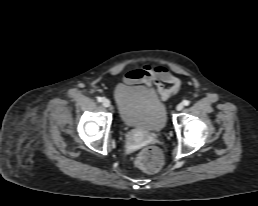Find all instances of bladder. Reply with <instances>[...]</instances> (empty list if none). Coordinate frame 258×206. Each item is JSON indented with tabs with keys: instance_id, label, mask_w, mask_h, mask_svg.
Listing matches in <instances>:
<instances>
[{
	"instance_id": "31cf9c89",
	"label": "bladder",
	"mask_w": 258,
	"mask_h": 206,
	"mask_svg": "<svg viewBox=\"0 0 258 206\" xmlns=\"http://www.w3.org/2000/svg\"><path fill=\"white\" fill-rule=\"evenodd\" d=\"M114 97L124 125L149 132H158L165 127L166 106L153 89L118 84Z\"/></svg>"
}]
</instances>
